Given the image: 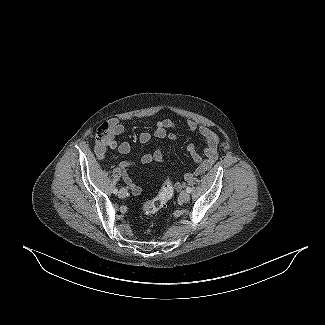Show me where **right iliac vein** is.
Wrapping results in <instances>:
<instances>
[{
  "label": "right iliac vein",
  "mask_w": 325,
  "mask_h": 325,
  "mask_svg": "<svg viewBox=\"0 0 325 325\" xmlns=\"http://www.w3.org/2000/svg\"><path fill=\"white\" fill-rule=\"evenodd\" d=\"M118 196L120 198H125L127 196V190L125 188H121L119 193H118Z\"/></svg>",
  "instance_id": "1"
}]
</instances>
